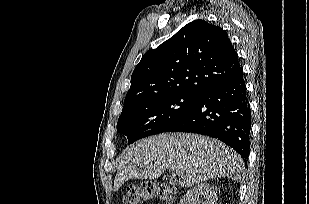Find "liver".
Returning a JSON list of instances; mask_svg holds the SVG:
<instances>
[{
  "label": "liver",
  "mask_w": 309,
  "mask_h": 204,
  "mask_svg": "<svg viewBox=\"0 0 309 204\" xmlns=\"http://www.w3.org/2000/svg\"><path fill=\"white\" fill-rule=\"evenodd\" d=\"M144 166L139 170L137 165ZM167 169L180 175L179 185L191 187L213 178L241 179L244 162L219 140L191 133L160 134L144 138L124 151L114 179V191L130 179L152 180Z\"/></svg>",
  "instance_id": "obj_1"
}]
</instances>
